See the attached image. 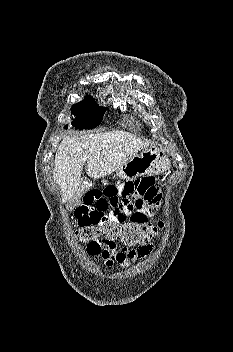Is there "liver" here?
<instances>
[{
  "mask_svg": "<svg viewBox=\"0 0 233 352\" xmlns=\"http://www.w3.org/2000/svg\"><path fill=\"white\" fill-rule=\"evenodd\" d=\"M148 146V142L136 135L119 130L65 136L56 152L53 170L54 181L62 192V202L66 203L78 194L86 161L87 175L99 179L116 171Z\"/></svg>",
  "mask_w": 233,
  "mask_h": 352,
  "instance_id": "6515ba94",
  "label": "liver"
}]
</instances>
